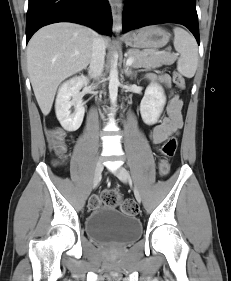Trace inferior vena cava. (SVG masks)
<instances>
[{
  "label": "inferior vena cava",
  "instance_id": "obj_1",
  "mask_svg": "<svg viewBox=\"0 0 231 281\" xmlns=\"http://www.w3.org/2000/svg\"><path fill=\"white\" fill-rule=\"evenodd\" d=\"M106 46L104 40L95 34L92 44V56L89 66V75L97 79L103 72Z\"/></svg>",
  "mask_w": 231,
  "mask_h": 281
}]
</instances>
